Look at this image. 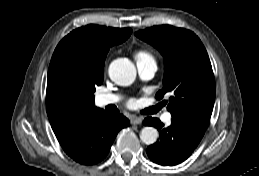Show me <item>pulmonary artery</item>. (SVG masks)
I'll use <instances>...</instances> for the list:
<instances>
[{"mask_svg":"<svg viewBox=\"0 0 259 176\" xmlns=\"http://www.w3.org/2000/svg\"><path fill=\"white\" fill-rule=\"evenodd\" d=\"M137 69L140 77L144 80H148L154 76L157 70V65L154 60H147V61L137 62ZM119 100H120V97L115 94H101V95H98L96 98V101L100 106L115 104L119 102ZM162 120L164 123H167V124L170 123L171 114L169 112L165 113L162 117Z\"/></svg>","mask_w":259,"mask_h":176,"instance_id":"1","label":"pulmonary artery"}]
</instances>
